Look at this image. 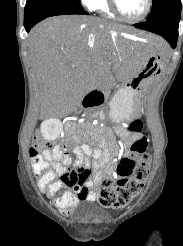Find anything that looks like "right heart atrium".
Segmentation results:
<instances>
[{
    "instance_id": "right-heart-atrium-1",
    "label": "right heart atrium",
    "mask_w": 183,
    "mask_h": 246,
    "mask_svg": "<svg viewBox=\"0 0 183 246\" xmlns=\"http://www.w3.org/2000/svg\"><path fill=\"white\" fill-rule=\"evenodd\" d=\"M87 7H89L90 8V5H91V2L93 1V0H81Z\"/></svg>"
}]
</instances>
